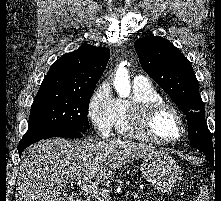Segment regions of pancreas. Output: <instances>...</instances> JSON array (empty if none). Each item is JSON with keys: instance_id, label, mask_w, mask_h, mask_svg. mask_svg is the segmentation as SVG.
<instances>
[{"instance_id": "pancreas-1", "label": "pancreas", "mask_w": 221, "mask_h": 201, "mask_svg": "<svg viewBox=\"0 0 221 201\" xmlns=\"http://www.w3.org/2000/svg\"><path fill=\"white\" fill-rule=\"evenodd\" d=\"M149 198H151L153 201H159V200H156V197H154V194H152V193H147V199H149ZM107 201H111V199L109 198Z\"/></svg>"}]
</instances>
